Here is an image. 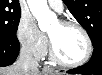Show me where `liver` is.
Wrapping results in <instances>:
<instances>
[{"instance_id": "obj_1", "label": "liver", "mask_w": 102, "mask_h": 75, "mask_svg": "<svg viewBox=\"0 0 102 75\" xmlns=\"http://www.w3.org/2000/svg\"><path fill=\"white\" fill-rule=\"evenodd\" d=\"M0 75H42L41 72L35 71V72H30L29 74H25L23 70L18 67L16 64H13L12 66L9 67H2L0 69Z\"/></svg>"}]
</instances>
